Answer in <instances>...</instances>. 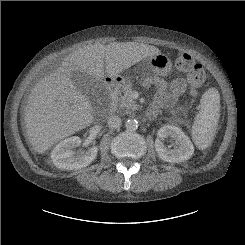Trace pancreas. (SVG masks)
Listing matches in <instances>:
<instances>
[{
    "instance_id": "cf45deb5",
    "label": "pancreas",
    "mask_w": 245,
    "mask_h": 245,
    "mask_svg": "<svg viewBox=\"0 0 245 245\" xmlns=\"http://www.w3.org/2000/svg\"><path fill=\"white\" fill-rule=\"evenodd\" d=\"M122 95L120 94V97L117 99V104L119 110L126 114L130 113L137 109V105L135 104V101L131 97L132 89L131 84H127L123 90Z\"/></svg>"
}]
</instances>
